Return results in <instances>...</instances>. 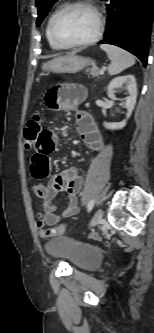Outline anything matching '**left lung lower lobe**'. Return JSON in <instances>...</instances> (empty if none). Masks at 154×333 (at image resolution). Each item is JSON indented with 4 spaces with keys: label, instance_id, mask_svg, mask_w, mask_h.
Here are the masks:
<instances>
[{
    "label": "left lung lower lobe",
    "instance_id": "1",
    "mask_svg": "<svg viewBox=\"0 0 154 333\" xmlns=\"http://www.w3.org/2000/svg\"><path fill=\"white\" fill-rule=\"evenodd\" d=\"M107 26L99 44H113L147 65L154 16V0H105Z\"/></svg>",
    "mask_w": 154,
    "mask_h": 333
}]
</instances>
